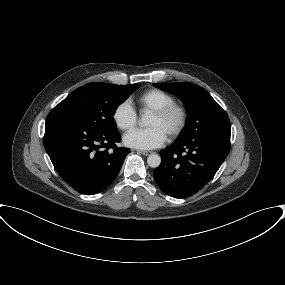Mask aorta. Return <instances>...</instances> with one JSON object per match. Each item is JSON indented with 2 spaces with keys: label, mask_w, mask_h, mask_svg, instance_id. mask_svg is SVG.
I'll list each match as a JSON object with an SVG mask.
<instances>
[{
  "label": "aorta",
  "mask_w": 285,
  "mask_h": 285,
  "mask_svg": "<svg viewBox=\"0 0 285 285\" xmlns=\"http://www.w3.org/2000/svg\"><path fill=\"white\" fill-rule=\"evenodd\" d=\"M140 125H144L145 121L144 119L139 122ZM147 163L150 167L156 168L160 165L161 163V157L158 154H150L147 158Z\"/></svg>",
  "instance_id": "aorta-1"
}]
</instances>
